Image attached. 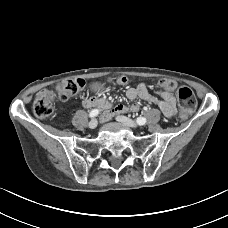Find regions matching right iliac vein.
Wrapping results in <instances>:
<instances>
[{"instance_id": "right-iliac-vein-1", "label": "right iliac vein", "mask_w": 228, "mask_h": 228, "mask_svg": "<svg viewBox=\"0 0 228 228\" xmlns=\"http://www.w3.org/2000/svg\"><path fill=\"white\" fill-rule=\"evenodd\" d=\"M97 124H98L97 120H96V119H92V120L89 122L88 126H89V128L94 129V128L97 127Z\"/></svg>"}]
</instances>
